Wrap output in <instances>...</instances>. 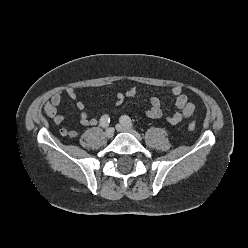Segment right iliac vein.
Returning <instances> with one entry per match:
<instances>
[{
    "instance_id": "right-iliac-vein-1",
    "label": "right iliac vein",
    "mask_w": 248,
    "mask_h": 248,
    "mask_svg": "<svg viewBox=\"0 0 248 248\" xmlns=\"http://www.w3.org/2000/svg\"><path fill=\"white\" fill-rule=\"evenodd\" d=\"M105 135L107 138H112L114 136V129L113 128H108L105 132Z\"/></svg>"
}]
</instances>
